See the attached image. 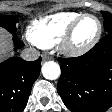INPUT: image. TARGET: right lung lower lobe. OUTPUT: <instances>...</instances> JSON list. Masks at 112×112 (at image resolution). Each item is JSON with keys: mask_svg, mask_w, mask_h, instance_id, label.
Here are the masks:
<instances>
[{"mask_svg": "<svg viewBox=\"0 0 112 112\" xmlns=\"http://www.w3.org/2000/svg\"><path fill=\"white\" fill-rule=\"evenodd\" d=\"M16 48L23 42L13 36ZM41 58L28 62L12 57L0 63V112H22L31 94L32 85L38 78Z\"/></svg>", "mask_w": 112, "mask_h": 112, "instance_id": "1", "label": "right lung lower lobe"}]
</instances>
